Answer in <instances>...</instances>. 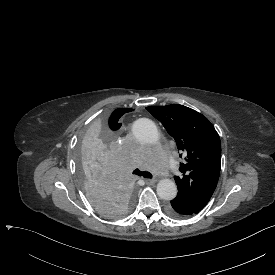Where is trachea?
<instances>
[{
    "label": "trachea",
    "mask_w": 275,
    "mask_h": 275,
    "mask_svg": "<svg viewBox=\"0 0 275 275\" xmlns=\"http://www.w3.org/2000/svg\"><path fill=\"white\" fill-rule=\"evenodd\" d=\"M133 174L138 175V176H143L144 178H147V179H151L152 178L151 173H149L147 171H140L139 169H135L133 171Z\"/></svg>",
    "instance_id": "obj_1"
}]
</instances>
